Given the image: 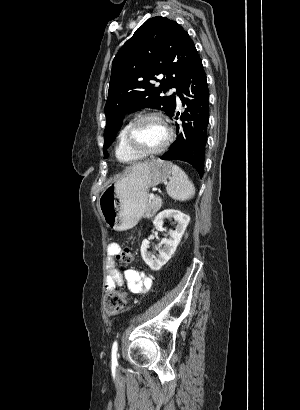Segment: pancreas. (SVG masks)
<instances>
[{
	"mask_svg": "<svg viewBox=\"0 0 300 410\" xmlns=\"http://www.w3.org/2000/svg\"><path fill=\"white\" fill-rule=\"evenodd\" d=\"M162 201L160 198H155L151 200L145 208V218H152L154 214L161 208Z\"/></svg>",
	"mask_w": 300,
	"mask_h": 410,
	"instance_id": "1",
	"label": "pancreas"
}]
</instances>
